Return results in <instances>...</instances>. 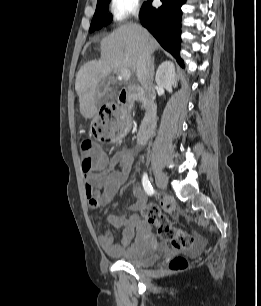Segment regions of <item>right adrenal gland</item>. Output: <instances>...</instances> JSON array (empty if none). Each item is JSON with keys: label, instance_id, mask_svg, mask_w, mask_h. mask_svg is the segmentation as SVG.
Returning <instances> with one entry per match:
<instances>
[{"label": "right adrenal gland", "instance_id": "obj_1", "mask_svg": "<svg viewBox=\"0 0 261 306\" xmlns=\"http://www.w3.org/2000/svg\"><path fill=\"white\" fill-rule=\"evenodd\" d=\"M154 60H155V57H152V61H151V73H152L153 75H154V73H155Z\"/></svg>", "mask_w": 261, "mask_h": 306}]
</instances>
